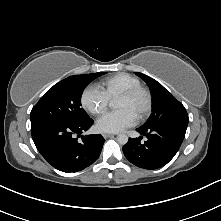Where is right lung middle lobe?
I'll return each instance as SVG.
<instances>
[{
  "label": "right lung middle lobe",
  "mask_w": 221,
  "mask_h": 221,
  "mask_svg": "<svg viewBox=\"0 0 221 221\" xmlns=\"http://www.w3.org/2000/svg\"><path fill=\"white\" fill-rule=\"evenodd\" d=\"M103 74L105 72L74 75L55 84L32 108L31 125L45 121L88 120L90 117L81 108V95L92 80Z\"/></svg>",
  "instance_id": "obj_1"
}]
</instances>
